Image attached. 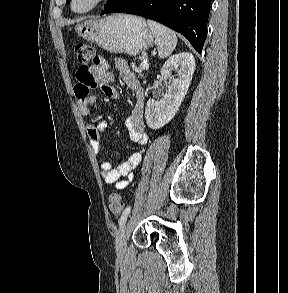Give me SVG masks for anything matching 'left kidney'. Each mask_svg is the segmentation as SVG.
<instances>
[{"instance_id":"obj_1","label":"left kidney","mask_w":288,"mask_h":293,"mask_svg":"<svg viewBox=\"0 0 288 293\" xmlns=\"http://www.w3.org/2000/svg\"><path fill=\"white\" fill-rule=\"evenodd\" d=\"M195 70V59L190 53H179L170 57L161 69L163 78L170 85L160 101L149 99L146 104V123L151 129H159L175 116L190 86ZM172 72H177L172 76Z\"/></svg>"}]
</instances>
